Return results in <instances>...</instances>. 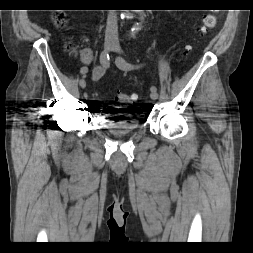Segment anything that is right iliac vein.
Segmentation results:
<instances>
[{
	"instance_id": "right-iliac-vein-1",
	"label": "right iliac vein",
	"mask_w": 253,
	"mask_h": 253,
	"mask_svg": "<svg viewBox=\"0 0 253 253\" xmlns=\"http://www.w3.org/2000/svg\"><path fill=\"white\" fill-rule=\"evenodd\" d=\"M113 46H114V40H113V38L106 37L105 41H104V48H105V50H111L113 48ZM79 84H80L81 88H85L86 81L84 79H81L80 82H79Z\"/></svg>"
}]
</instances>
